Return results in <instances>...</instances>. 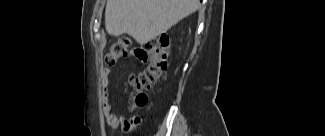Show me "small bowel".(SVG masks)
Here are the masks:
<instances>
[{"label":"small bowel","mask_w":325,"mask_h":136,"mask_svg":"<svg viewBox=\"0 0 325 136\" xmlns=\"http://www.w3.org/2000/svg\"><path fill=\"white\" fill-rule=\"evenodd\" d=\"M130 50L135 55V60L137 62L138 68H145L147 62V48L145 44H131ZM111 70L109 68H104L102 72V85H103V95H102V107L104 111L105 118L107 123L114 129L122 127L126 130L131 129L134 127L139 121V117H130L125 118L119 116L116 111L113 109L110 99H109V92H108V85H109V76ZM136 75L134 73H128L127 79L134 80ZM120 91H123V88H120ZM146 102L144 104L138 103L136 101V106L142 107L147 103V96H145Z\"/></svg>","instance_id":"c3829d8e"}]
</instances>
